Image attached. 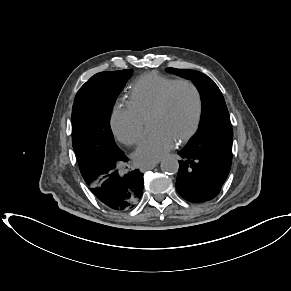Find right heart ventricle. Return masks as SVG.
I'll return each instance as SVG.
<instances>
[{
	"label": "right heart ventricle",
	"instance_id": "right-heart-ventricle-1",
	"mask_svg": "<svg viewBox=\"0 0 291 291\" xmlns=\"http://www.w3.org/2000/svg\"><path fill=\"white\" fill-rule=\"evenodd\" d=\"M173 78L148 73L139 77L131 87L127 105L143 120L147 121L159 104L163 92L174 82Z\"/></svg>",
	"mask_w": 291,
	"mask_h": 291
}]
</instances>
